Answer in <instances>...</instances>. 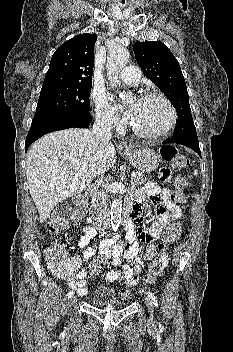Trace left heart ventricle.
Segmentation results:
<instances>
[{"instance_id":"obj_1","label":"left heart ventricle","mask_w":233,"mask_h":352,"mask_svg":"<svg viewBox=\"0 0 233 352\" xmlns=\"http://www.w3.org/2000/svg\"><path fill=\"white\" fill-rule=\"evenodd\" d=\"M131 122L140 130L157 133L162 131L170 120L167 105L158 98L144 101L134 100L129 106Z\"/></svg>"}]
</instances>
